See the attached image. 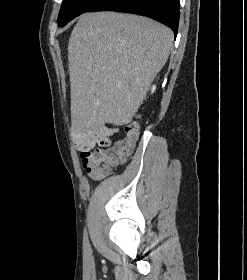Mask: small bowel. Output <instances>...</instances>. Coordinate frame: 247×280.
<instances>
[{"instance_id": "1", "label": "small bowel", "mask_w": 247, "mask_h": 280, "mask_svg": "<svg viewBox=\"0 0 247 280\" xmlns=\"http://www.w3.org/2000/svg\"><path fill=\"white\" fill-rule=\"evenodd\" d=\"M118 131L117 128L106 124L93 127L74 126L73 136L75 145L83 158L96 148L108 146L111 143V137Z\"/></svg>"}]
</instances>
